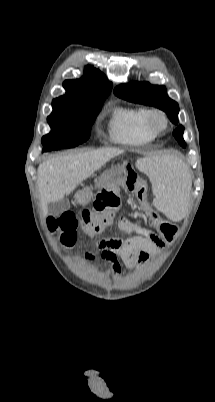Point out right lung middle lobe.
Instances as JSON below:
<instances>
[{
	"mask_svg": "<svg viewBox=\"0 0 215 402\" xmlns=\"http://www.w3.org/2000/svg\"><path fill=\"white\" fill-rule=\"evenodd\" d=\"M107 97L93 101L53 100L47 121L51 132L42 138L43 152L72 148L85 142Z\"/></svg>",
	"mask_w": 215,
	"mask_h": 402,
	"instance_id": "obj_1",
	"label": "right lung middle lobe"
}]
</instances>
